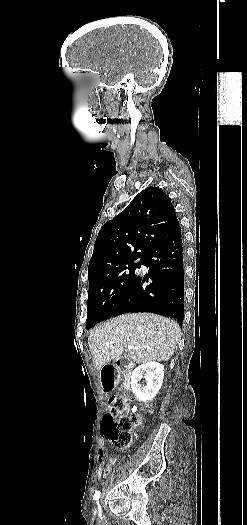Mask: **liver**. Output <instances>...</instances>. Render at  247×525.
<instances>
[{"label":"liver","mask_w":247,"mask_h":525,"mask_svg":"<svg viewBox=\"0 0 247 525\" xmlns=\"http://www.w3.org/2000/svg\"><path fill=\"white\" fill-rule=\"evenodd\" d=\"M180 335L176 321L154 313H127L93 329L88 345L96 369L100 371L110 361L122 359L124 347H138L128 349L126 357L136 365L168 361L173 357Z\"/></svg>","instance_id":"1"}]
</instances>
